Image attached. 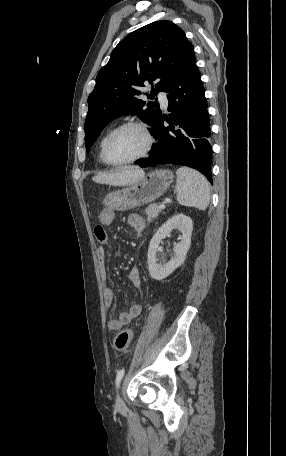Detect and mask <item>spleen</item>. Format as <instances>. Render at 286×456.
Masks as SVG:
<instances>
[{
	"label": "spleen",
	"instance_id": "spleen-1",
	"mask_svg": "<svg viewBox=\"0 0 286 456\" xmlns=\"http://www.w3.org/2000/svg\"><path fill=\"white\" fill-rule=\"evenodd\" d=\"M176 192L180 205L205 210L210 201V188L206 178L196 170L180 167L177 172Z\"/></svg>",
	"mask_w": 286,
	"mask_h": 456
}]
</instances>
